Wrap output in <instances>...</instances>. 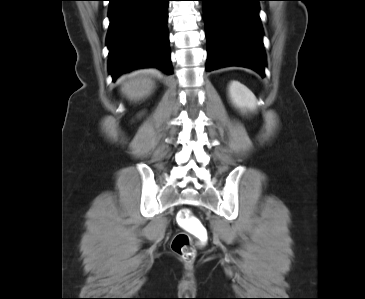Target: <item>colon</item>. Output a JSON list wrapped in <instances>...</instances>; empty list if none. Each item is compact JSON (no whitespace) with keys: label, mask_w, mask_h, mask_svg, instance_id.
<instances>
[{"label":"colon","mask_w":365,"mask_h":299,"mask_svg":"<svg viewBox=\"0 0 365 299\" xmlns=\"http://www.w3.org/2000/svg\"><path fill=\"white\" fill-rule=\"evenodd\" d=\"M176 220L183 232H179L173 237L171 248L181 258L191 261L196 256L193 237L203 243L207 240V230L188 208L181 209L177 214Z\"/></svg>","instance_id":"1"}]
</instances>
